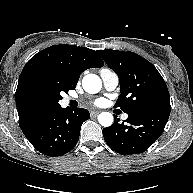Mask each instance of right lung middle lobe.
<instances>
[{"instance_id":"right-lung-middle-lobe-1","label":"right lung middle lobe","mask_w":193,"mask_h":193,"mask_svg":"<svg viewBox=\"0 0 193 193\" xmlns=\"http://www.w3.org/2000/svg\"><path fill=\"white\" fill-rule=\"evenodd\" d=\"M68 90L69 89H64L62 85L54 79L41 81L37 86V91L39 94L56 98L58 100L62 99L60 93L62 91L68 92Z\"/></svg>"}]
</instances>
